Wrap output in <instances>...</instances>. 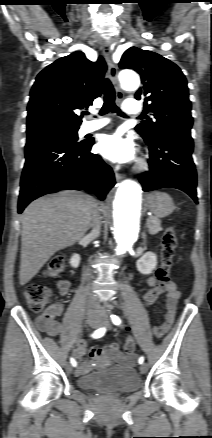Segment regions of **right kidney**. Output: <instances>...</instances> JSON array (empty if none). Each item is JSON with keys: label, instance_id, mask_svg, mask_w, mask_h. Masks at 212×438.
Segmentation results:
<instances>
[{"label": "right kidney", "instance_id": "ca27d5eb", "mask_svg": "<svg viewBox=\"0 0 212 438\" xmlns=\"http://www.w3.org/2000/svg\"><path fill=\"white\" fill-rule=\"evenodd\" d=\"M80 256L78 254H73L70 258V265L74 268H77L80 263Z\"/></svg>", "mask_w": 212, "mask_h": 438}]
</instances>
